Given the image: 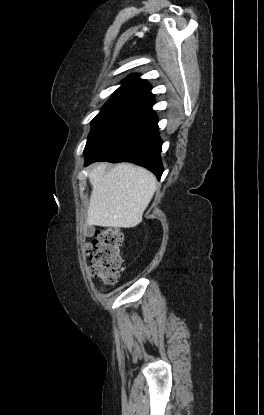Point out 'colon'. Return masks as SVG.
Instances as JSON below:
<instances>
[{"label": "colon", "mask_w": 264, "mask_h": 415, "mask_svg": "<svg viewBox=\"0 0 264 415\" xmlns=\"http://www.w3.org/2000/svg\"><path fill=\"white\" fill-rule=\"evenodd\" d=\"M124 235L114 227H102L94 232V239L86 247L90 275L104 285L115 284L125 265L121 254Z\"/></svg>", "instance_id": "1"}]
</instances>
